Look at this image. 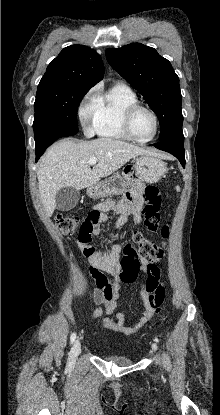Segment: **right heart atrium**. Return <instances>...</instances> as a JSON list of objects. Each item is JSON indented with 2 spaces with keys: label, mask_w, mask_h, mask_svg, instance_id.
Returning a JSON list of instances; mask_svg holds the SVG:
<instances>
[{
  "label": "right heart atrium",
  "mask_w": 220,
  "mask_h": 415,
  "mask_svg": "<svg viewBox=\"0 0 220 415\" xmlns=\"http://www.w3.org/2000/svg\"><path fill=\"white\" fill-rule=\"evenodd\" d=\"M95 98L85 99L81 103L79 110H78L79 119L86 133H91L93 129V121H94L95 111H96Z\"/></svg>",
  "instance_id": "d8ad5b80"
}]
</instances>
